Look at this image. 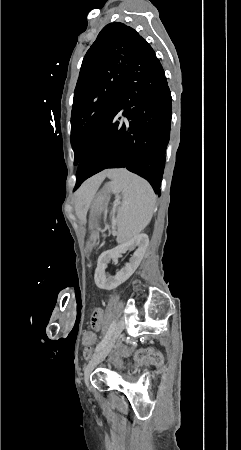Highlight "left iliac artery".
Instances as JSON below:
<instances>
[{
	"label": "left iliac artery",
	"mask_w": 241,
	"mask_h": 450,
	"mask_svg": "<svg viewBox=\"0 0 241 450\" xmlns=\"http://www.w3.org/2000/svg\"><path fill=\"white\" fill-rule=\"evenodd\" d=\"M116 327V321L114 320L112 322V324L110 325L107 334L105 335V337L102 339V341L96 346L95 348V352H98L102 347H104V345L108 342V340L110 339L111 335L113 334L114 330Z\"/></svg>",
	"instance_id": "44dca946"
}]
</instances>
